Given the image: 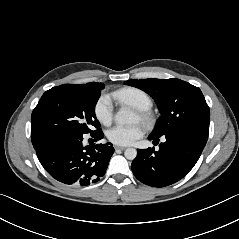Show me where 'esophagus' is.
Returning <instances> with one entry per match:
<instances>
[{
    "label": "esophagus",
    "mask_w": 239,
    "mask_h": 239,
    "mask_svg": "<svg viewBox=\"0 0 239 239\" xmlns=\"http://www.w3.org/2000/svg\"><path fill=\"white\" fill-rule=\"evenodd\" d=\"M125 149H126L125 147L115 146V150H121V151H123V150H125Z\"/></svg>",
    "instance_id": "1"
}]
</instances>
